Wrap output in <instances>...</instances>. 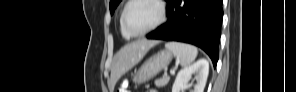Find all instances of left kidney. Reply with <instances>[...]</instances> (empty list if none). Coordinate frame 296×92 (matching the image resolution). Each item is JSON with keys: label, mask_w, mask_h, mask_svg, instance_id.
I'll list each match as a JSON object with an SVG mask.
<instances>
[{"label": "left kidney", "mask_w": 296, "mask_h": 92, "mask_svg": "<svg viewBox=\"0 0 296 92\" xmlns=\"http://www.w3.org/2000/svg\"><path fill=\"white\" fill-rule=\"evenodd\" d=\"M209 73V62L206 59H200L192 65L181 69L175 79L172 92H180L187 85L188 80L193 74H196V84L192 92H203Z\"/></svg>", "instance_id": "1"}]
</instances>
